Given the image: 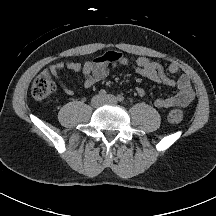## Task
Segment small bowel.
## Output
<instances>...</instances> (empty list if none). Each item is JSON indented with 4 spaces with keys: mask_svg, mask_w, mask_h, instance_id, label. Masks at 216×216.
<instances>
[{
    "mask_svg": "<svg viewBox=\"0 0 216 216\" xmlns=\"http://www.w3.org/2000/svg\"><path fill=\"white\" fill-rule=\"evenodd\" d=\"M117 66H129L138 74L153 82L178 89V92L173 95L155 100L154 105L159 109L186 107L194 100V91L187 75H181L178 79H173L166 73L161 64L146 56L129 57L117 51H107L94 59L87 60L83 64L69 60L54 63L47 71L59 80L65 94L73 95L74 90L60 79L65 67L80 73L83 76V86L91 88L105 79L111 69ZM178 71L179 66L176 63H171L167 69L169 74H176ZM136 92L140 96L145 94L142 87H136Z\"/></svg>",
    "mask_w": 216,
    "mask_h": 216,
    "instance_id": "small-bowel-1",
    "label": "small bowel"
}]
</instances>
